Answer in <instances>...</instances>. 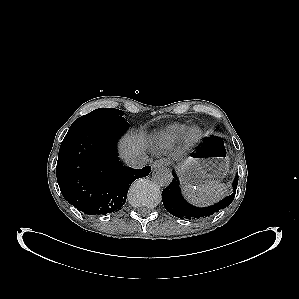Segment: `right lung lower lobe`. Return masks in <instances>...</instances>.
I'll return each instance as SVG.
<instances>
[{"label":"right lung lower lobe","mask_w":299,"mask_h":299,"mask_svg":"<svg viewBox=\"0 0 299 299\" xmlns=\"http://www.w3.org/2000/svg\"><path fill=\"white\" fill-rule=\"evenodd\" d=\"M129 123L82 125L70 128L63 139L56 167L63 197L87 215L121 210L132 182L147 176L150 166L125 167L116 144Z\"/></svg>","instance_id":"98d812e1"}]
</instances>
